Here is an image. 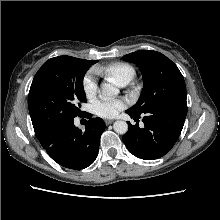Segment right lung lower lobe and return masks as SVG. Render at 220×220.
<instances>
[{
  "mask_svg": "<svg viewBox=\"0 0 220 220\" xmlns=\"http://www.w3.org/2000/svg\"><path fill=\"white\" fill-rule=\"evenodd\" d=\"M82 132L73 119L38 136L42 147L58 164L69 169H84L91 165L99 150L100 136L105 130L101 118H91Z\"/></svg>",
  "mask_w": 220,
  "mask_h": 220,
  "instance_id": "right-lung-lower-lobe-1",
  "label": "right lung lower lobe"
}]
</instances>
